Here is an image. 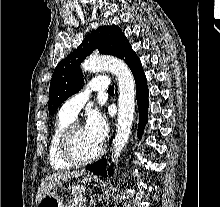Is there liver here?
Segmentation results:
<instances>
[{
  "mask_svg": "<svg viewBox=\"0 0 220 207\" xmlns=\"http://www.w3.org/2000/svg\"><path fill=\"white\" fill-rule=\"evenodd\" d=\"M83 174V171H68V172H56L54 174L47 175L41 182L36 195V204H38L41 199L48 195L51 190L61 181L67 180L69 178L78 177Z\"/></svg>",
  "mask_w": 220,
  "mask_h": 207,
  "instance_id": "1",
  "label": "liver"
}]
</instances>
